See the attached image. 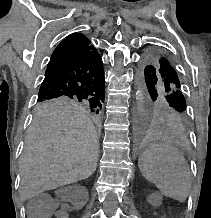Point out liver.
I'll list each match as a JSON object with an SVG mask.
<instances>
[{
    "label": "liver",
    "instance_id": "liver-1",
    "mask_svg": "<svg viewBox=\"0 0 211 218\" xmlns=\"http://www.w3.org/2000/svg\"><path fill=\"white\" fill-rule=\"evenodd\" d=\"M98 162L96 130L73 108L36 110L20 160L22 200L45 190L86 180Z\"/></svg>",
    "mask_w": 211,
    "mask_h": 218
}]
</instances>
